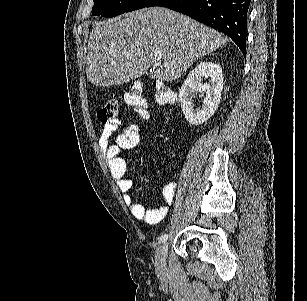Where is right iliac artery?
<instances>
[{
    "mask_svg": "<svg viewBox=\"0 0 307 301\" xmlns=\"http://www.w3.org/2000/svg\"><path fill=\"white\" fill-rule=\"evenodd\" d=\"M167 239H168V235L167 234L161 235V237L159 238V244L165 242Z\"/></svg>",
    "mask_w": 307,
    "mask_h": 301,
    "instance_id": "1",
    "label": "right iliac artery"
}]
</instances>
